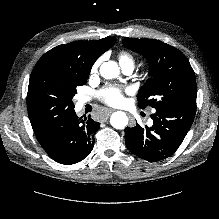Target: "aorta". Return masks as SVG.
Returning a JSON list of instances; mask_svg holds the SVG:
<instances>
[{"label":"aorta","instance_id":"aorta-1","mask_svg":"<svg viewBox=\"0 0 219 219\" xmlns=\"http://www.w3.org/2000/svg\"><path fill=\"white\" fill-rule=\"evenodd\" d=\"M99 71L105 79H113L119 75V67L114 61L104 62ZM110 124L116 129H124L128 125V117L122 111L114 112L110 117Z\"/></svg>","mask_w":219,"mask_h":219}]
</instances>
